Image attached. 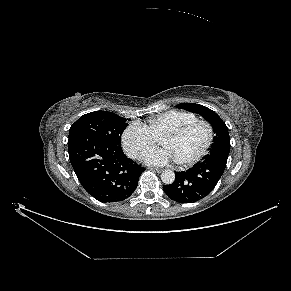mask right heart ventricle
Returning <instances> with one entry per match:
<instances>
[{"label": "right heart ventricle", "instance_id": "right-heart-ventricle-1", "mask_svg": "<svg viewBox=\"0 0 291 291\" xmlns=\"http://www.w3.org/2000/svg\"><path fill=\"white\" fill-rule=\"evenodd\" d=\"M196 119L198 118L194 113L180 110H169L152 117L149 120L148 128L156 138L161 139L169 131Z\"/></svg>", "mask_w": 291, "mask_h": 291}]
</instances>
